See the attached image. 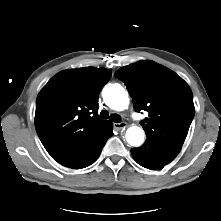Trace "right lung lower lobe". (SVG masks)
Returning a JSON list of instances; mask_svg holds the SVG:
<instances>
[{"label": "right lung lower lobe", "mask_w": 221, "mask_h": 221, "mask_svg": "<svg viewBox=\"0 0 221 221\" xmlns=\"http://www.w3.org/2000/svg\"><path fill=\"white\" fill-rule=\"evenodd\" d=\"M112 135V124L109 122L100 134L83 145L73 155L60 162V164L73 169H81L91 165L97 160L103 146Z\"/></svg>", "instance_id": "98d812e1"}]
</instances>
